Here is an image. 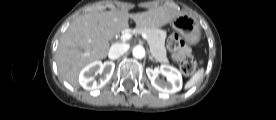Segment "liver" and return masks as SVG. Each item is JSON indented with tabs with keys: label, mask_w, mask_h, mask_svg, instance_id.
<instances>
[{
	"label": "liver",
	"mask_w": 276,
	"mask_h": 120,
	"mask_svg": "<svg viewBox=\"0 0 276 120\" xmlns=\"http://www.w3.org/2000/svg\"><path fill=\"white\" fill-rule=\"evenodd\" d=\"M182 13L164 6L146 12L95 11L75 19L63 34L56 53L60 76L79 88L78 74L87 64L107 57L109 40L128 28L129 18L139 28L164 26Z\"/></svg>",
	"instance_id": "1"
}]
</instances>
